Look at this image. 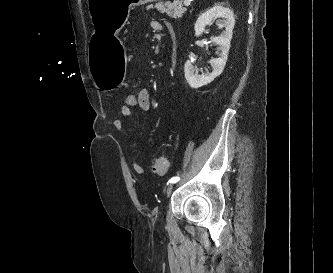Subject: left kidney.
Masks as SVG:
<instances>
[{"mask_svg":"<svg viewBox=\"0 0 333 273\" xmlns=\"http://www.w3.org/2000/svg\"><path fill=\"white\" fill-rule=\"evenodd\" d=\"M215 18H222V20H218V22L225 27V30L220 36L211 39L212 42L218 46L221 53L218 58L209 61L213 69L211 73L207 72L199 75V70L194 66V63L190 60L186 61L184 66L185 78L191 88H199L211 83L223 72L227 62L230 41L233 34L232 31L235 25L234 14L231 9L223 7L222 5H215L202 13L195 23V36H200L205 32L206 25L210 24Z\"/></svg>","mask_w":333,"mask_h":273,"instance_id":"5707ae66","label":"left kidney"}]
</instances>
